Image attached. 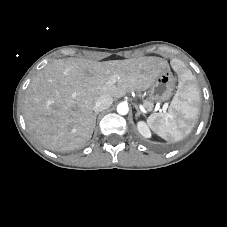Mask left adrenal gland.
Listing matches in <instances>:
<instances>
[{
    "instance_id": "obj_1",
    "label": "left adrenal gland",
    "mask_w": 227,
    "mask_h": 227,
    "mask_svg": "<svg viewBox=\"0 0 227 227\" xmlns=\"http://www.w3.org/2000/svg\"><path fill=\"white\" fill-rule=\"evenodd\" d=\"M135 108H136V111H137L136 114H135L136 119H137L140 115L145 116V114H143V113L139 110L138 106H135Z\"/></svg>"
}]
</instances>
